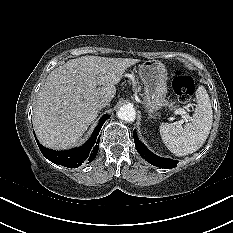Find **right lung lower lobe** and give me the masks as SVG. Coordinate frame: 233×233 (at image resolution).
<instances>
[{"label":"right lung lower lobe","mask_w":233,"mask_h":233,"mask_svg":"<svg viewBox=\"0 0 233 233\" xmlns=\"http://www.w3.org/2000/svg\"><path fill=\"white\" fill-rule=\"evenodd\" d=\"M109 118V116L104 115L101 121L96 126L90 139L81 147L76 149H70L68 151H54L43 147L38 140L36 142L42 154L51 162L63 165L68 168H77L82 163L91 162L95 158L100 142L99 132L102 128L104 122Z\"/></svg>","instance_id":"98d812e1"}]
</instances>
